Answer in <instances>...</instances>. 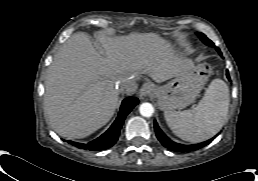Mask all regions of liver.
<instances>
[{"instance_id":"1","label":"liver","mask_w":258,"mask_h":181,"mask_svg":"<svg viewBox=\"0 0 258 181\" xmlns=\"http://www.w3.org/2000/svg\"><path fill=\"white\" fill-rule=\"evenodd\" d=\"M102 56L84 33L73 34L48 68L44 110L62 137L84 138L104 126L118 106L121 81L149 75L156 82L189 73L194 64L154 33L97 35Z\"/></svg>"}]
</instances>
